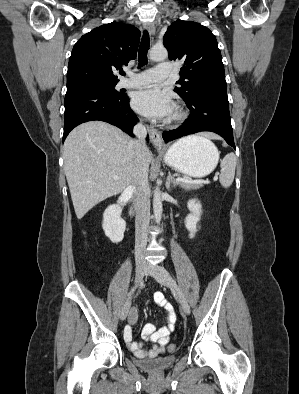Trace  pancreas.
Listing matches in <instances>:
<instances>
[{"label":"pancreas","instance_id":"cf45deb5","mask_svg":"<svg viewBox=\"0 0 299 394\" xmlns=\"http://www.w3.org/2000/svg\"><path fill=\"white\" fill-rule=\"evenodd\" d=\"M177 185H180L182 188L186 190L199 189L202 187V184H186L182 182H178Z\"/></svg>","mask_w":299,"mask_h":394}]
</instances>
